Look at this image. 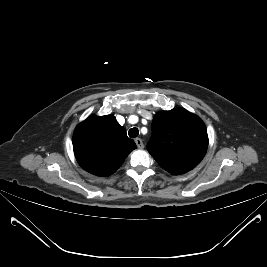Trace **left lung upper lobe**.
<instances>
[{
	"label": "left lung upper lobe",
	"mask_w": 267,
	"mask_h": 267,
	"mask_svg": "<svg viewBox=\"0 0 267 267\" xmlns=\"http://www.w3.org/2000/svg\"><path fill=\"white\" fill-rule=\"evenodd\" d=\"M208 147L203 121L184 108L158 112L152 121L147 150L173 175L186 173L203 159Z\"/></svg>",
	"instance_id": "1"
}]
</instances>
